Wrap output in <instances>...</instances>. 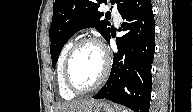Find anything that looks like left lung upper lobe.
I'll list each match as a JSON object with an SVG mask.
<instances>
[{
  "mask_svg": "<svg viewBox=\"0 0 193 112\" xmlns=\"http://www.w3.org/2000/svg\"><path fill=\"white\" fill-rule=\"evenodd\" d=\"M110 2L111 4H116L118 11L121 12L131 0H110ZM101 3L107 4V1L55 0L53 4V19L49 30L53 67L56 65L65 43L78 30L95 27L106 40L108 39L110 23L106 19L101 20L104 14L97 10Z\"/></svg>",
  "mask_w": 193,
  "mask_h": 112,
  "instance_id": "1",
  "label": "left lung upper lobe"
}]
</instances>
